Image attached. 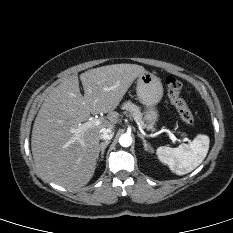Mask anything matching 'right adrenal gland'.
<instances>
[{"instance_id": "2a0ac1e0", "label": "right adrenal gland", "mask_w": 233, "mask_h": 233, "mask_svg": "<svg viewBox=\"0 0 233 233\" xmlns=\"http://www.w3.org/2000/svg\"><path fill=\"white\" fill-rule=\"evenodd\" d=\"M109 143H110V141L106 140V141L102 142L99 146V152H101V154H100L101 160H103V158H104V152H105Z\"/></svg>"}]
</instances>
